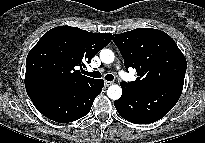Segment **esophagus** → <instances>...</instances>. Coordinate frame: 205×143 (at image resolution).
<instances>
[{"label": "esophagus", "mask_w": 205, "mask_h": 143, "mask_svg": "<svg viewBox=\"0 0 205 143\" xmlns=\"http://www.w3.org/2000/svg\"><path fill=\"white\" fill-rule=\"evenodd\" d=\"M113 84V82H111V81H105V86L106 87H108V86H110V85H112Z\"/></svg>", "instance_id": "34e87169"}]
</instances>
